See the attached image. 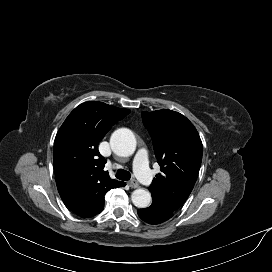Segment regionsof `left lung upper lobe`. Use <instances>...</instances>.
Here are the masks:
<instances>
[{
  "instance_id": "5c2ea615",
  "label": "left lung upper lobe",
  "mask_w": 272,
  "mask_h": 272,
  "mask_svg": "<svg viewBox=\"0 0 272 272\" xmlns=\"http://www.w3.org/2000/svg\"><path fill=\"white\" fill-rule=\"evenodd\" d=\"M161 173L149 190L153 203L175 212L189 197L202 161V142L194 125L171 110L142 112Z\"/></svg>"
}]
</instances>
